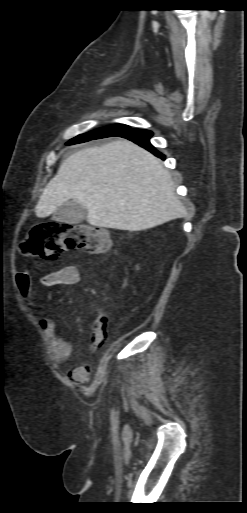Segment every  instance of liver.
<instances>
[{
	"mask_svg": "<svg viewBox=\"0 0 247 513\" xmlns=\"http://www.w3.org/2000/svg\"><path fill=\"white\" fill-rule=\"evenodd\" d=\"M73 199L92 226L141 231L185 214L161 160L126 139L79 150L60 165L35 207L45 218Z\"/></svg>",
	"mask_w": 247,
	"mask_h": 513,
	"instance_id": "liver-1",
	"label": "liver"
}]
</instances>
